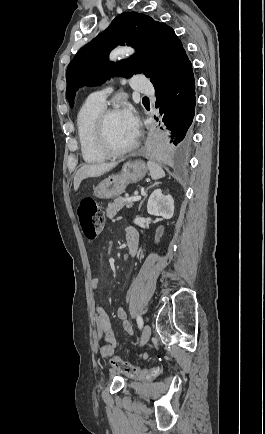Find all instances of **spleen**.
<instances>
[{"label":"spleen","mask_w":265,"mask_h":434,"mask_svg":"<svg viewBox=\"0 0 265 434\" xmlns=\"http://www.w3.org/2000/svg\"><path fill=\"white\" fill-rule=\"evenodd\" d=\"M147 166L152 180H159V178H164L165 172L164 170H162L159 164H155V162H151V160H149V162H147Z\"/></svg>","instance_id":"3e777b00"}]
</instances>
